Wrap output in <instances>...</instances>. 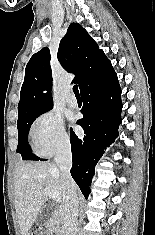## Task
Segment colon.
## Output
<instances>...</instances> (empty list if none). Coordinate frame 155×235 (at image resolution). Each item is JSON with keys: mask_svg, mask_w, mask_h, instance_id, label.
Listing matches in <instances>:
<instances>
[{"mask_svg": "<svg viewBox=\"0 0 155 235\" xmlns=\"http://www.w3.org/2000/svg\"><path fill=\"white\" fill-rule=\"evenodd\" d=\"M28 235H46V233L43 231H32Z\"/></svg>", "mask_w": 155, "mask_h": 235, "instance_id": "5ec220e1", "label": "colon"}]
</instances>
